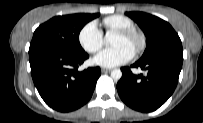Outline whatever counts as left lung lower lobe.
Instances as JSON below:
<instances>
[{"mask_svg": "<svg viewBox=\"0 0 203 123\" xmlns=\"http://www.w3.org/2000/svg\"><path fill=\"white\" fill-rule=\"evenodd\" d=\"M182 63V50H171L140 59L131 66L145 70V75H134L129 67H122V78L117 83L120 98L137 111L158 109L174 92Z\"/></svg>", "mask_w": 203, "mask_h": 123, "instance_id": "0a47b994", "label": "left lung lower lobe"}]
</instances>
